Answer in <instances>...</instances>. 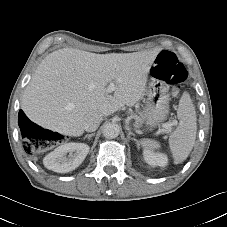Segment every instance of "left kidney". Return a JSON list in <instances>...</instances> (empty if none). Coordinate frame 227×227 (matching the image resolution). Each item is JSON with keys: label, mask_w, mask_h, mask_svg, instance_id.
I'll return each mask as SVG.
<instances>
[{"label": "left kidney", "mask_w": 227, "mask_h": 227, "mask_svg": "<svg viewBox=\"0 0 227 227\" xmlns=\"http://www.w3.org/2000/svg\"><path fill=\"white\" fill-rule=\"evenodd\" d=\"M143 156L146 163L152 167H165L168 163V158L163 153H154L150 150H144Z\"/></svg>", "instance_id": "1"}]
</instances>
